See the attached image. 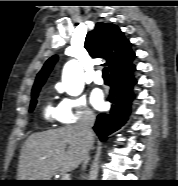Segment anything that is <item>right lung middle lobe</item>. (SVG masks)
<instances>
[{
  "mask_svg": "<svg viewBox=\"0 0 178 186\" xmlns=\"http://www.w3.org/2000/svg\"><path fill=\"white\" fill-rule=\"evenodd\" d=\"M38 92H39V91H38ZM38 92H35V93L32 94V100H31L30 110H29L30 112L33 111V109H34V107H35V105H36V103H37L36 98H37V96H38Z\"/></svg>",
  "mask_w": 178,
  "mask_h": 186,
  "instance_id": "obj_1",
  "label": "right lung middle lobe"
}]
</instances>
